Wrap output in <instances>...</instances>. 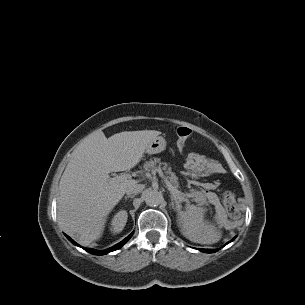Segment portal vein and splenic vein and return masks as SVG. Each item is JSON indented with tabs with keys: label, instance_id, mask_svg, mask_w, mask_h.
I'll use <instances>...</instances> for the list:
<instances>
[{
	"label": "portal vein and splenic vein",
	"instance_id": "obj_1",
	"mask_svg": "<svg viewBox=\"0 0 305 305\" xmlns=\"http://www.w3.org/2000/svg\"><path fill=\"white\" fill-rule=\"evenodd\" d=\"M156 172L159 174V176H160L161 178H163L164 183L169 187L170 190H172V192H173L174 194H176V196H177L178 199L187 201V199H184V198H183L182 196H180L177 192H174L175 190H174L173 186L170 184V182H169V181L167 180V178L164 176L162 170L157 169ZM129 178H130L129 175L124 174V175H119V176H116V177H114V178H111L110 181H111V182H122V181H125V180L129 179Z\"/></svg>",
	"mask_w": 305,
	"mask_h": 305
}]
</instances>
